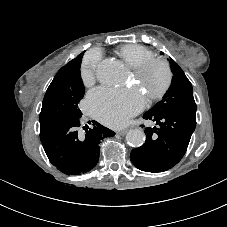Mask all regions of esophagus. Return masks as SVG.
I'll list each match as a JSON object with an SVG mask.
<instances>
[{
    "label": "esophagus",
    "instance_id": "34e87169",
    "mask_svg": "<svg viewBox=\"0 0 227 227\" xmlns=\"http://www.w3.org/2000/svg\"><path fill=\"white\" fill-rule=\"evenodd\" d=\"M127 132V129H123V130H118L116 133L118 135H124Z\"/></svg>",
    "mask_w": 227,
    "mask_h": 227
}]
</instances>
